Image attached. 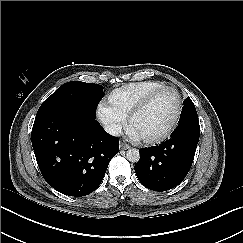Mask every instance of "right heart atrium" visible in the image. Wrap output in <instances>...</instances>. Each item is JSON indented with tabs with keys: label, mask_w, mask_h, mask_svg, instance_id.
<instances>
[{
	"label": "right heart atrium",
	"mask_w": 243,
	"mask_h": 243,
	"mask_svg": "<svg viewBox=\"0 0 243 243\" xmlns=\"http://www.w3.org/2000/svg\"><path fill=\"white\" fill-rule=\"evenodd\" d=\"M97 117L105 129L111 134L118 133L124 126V120L105 104H101L98 107Z\"/></svg>",
	"instance_id": "d8ad5b80"
}]
</instances>
